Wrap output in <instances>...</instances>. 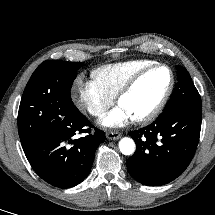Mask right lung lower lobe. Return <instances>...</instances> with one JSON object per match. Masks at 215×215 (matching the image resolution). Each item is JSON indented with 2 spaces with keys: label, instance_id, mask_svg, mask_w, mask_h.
Returning a JSON list of instances; mask_svg holds the SVG:
<instances>
[{
  "label": "right lung lower lobe",
  "instance_id": "right-lung-lower-lobe-1",
  "mask_svg": "<svg viewBox=\"0 0 215 215\" xmlns=\"http://www.w3.org/2000/svg\"><path fill=\"white\" fill-rule=\"evenodd\" d=\"M91 128L93 125L87 118L77 112L62 124L22 144L33 170L55 187L70 188L81 183L90 172L97 146L105 140L103 131L95 128L91 133ZM85 132L89 134L72 140L76 133Z\"/></svg>",
  "mask_w": 215,
  "mask_h": 215
}]
</instances>
